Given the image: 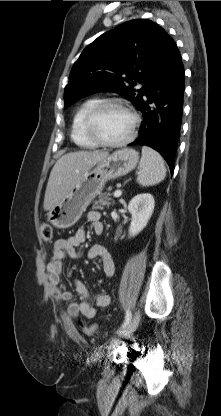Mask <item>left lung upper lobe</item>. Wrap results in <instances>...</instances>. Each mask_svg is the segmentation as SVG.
<instances>
[{
    "label": "left lung upper lobe",
    "instance_id": "obj_1",
    "mask_svg": "<svg viewBox=\"0 0 221 416\" xmlns=\"http://www.w3.org/2000/svg\"><path fill=\"white\" fill-rule=\"evenodd\" d=\"M166 35L153 21L135 19L99 36L73 65L64 108L99 91L116 92L139 107ZM137 83L144 86L134 89Z\"/></svg>",
    "mask_w": 221,
    "mask_h": 416
}]
</instances>
